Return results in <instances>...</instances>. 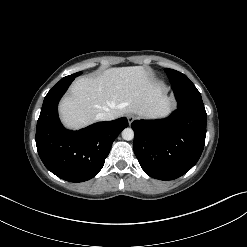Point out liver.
I'll use <instances>...</instances> for the list:
<instances>
[{
	"instance_id": "liver-1",
	"label": "liver",
	"mask_w": 247,
	"mask_h": 247,
	"mask_svg": "<svg viewBox=\"0 0 247 247\" xmlns=\"http://www.w3.org/2000/svg\"><path fill=\"white\" fill-rule=\"evenodd\" d=\"M171 99L142 66L105 70L96 77H81L70 88L59 106L61 120L71 129L90 125L99 113L111 112L115 118L134 113L146 119L166 116Z\"/></svg>"
}]
</instances>
